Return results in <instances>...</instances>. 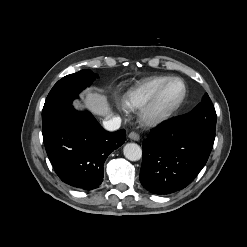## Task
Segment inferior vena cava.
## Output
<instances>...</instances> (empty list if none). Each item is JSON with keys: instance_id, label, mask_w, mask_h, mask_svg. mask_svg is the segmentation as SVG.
Returning a JSON list of instances; mask_svg holds the SVG:
<instances>
[{"instance_id": "602c4592", "label": "inferior vena cava", "mask_w": 247, "mask_h": 247, "mask_svg": "<svg viewBox=\"0 0 247 247\" xmlns=\"http://www.w3.org/2000/svg\"><path fill=\"white\" fill-rule=\"evenodd\" d=\"M121 118L119 116H114L109 120L103 121V126L107 131H116L120 128Z\"/></svg>"}]
</instances>
